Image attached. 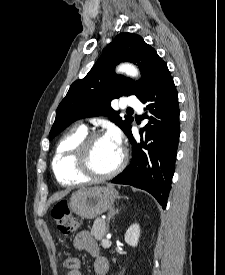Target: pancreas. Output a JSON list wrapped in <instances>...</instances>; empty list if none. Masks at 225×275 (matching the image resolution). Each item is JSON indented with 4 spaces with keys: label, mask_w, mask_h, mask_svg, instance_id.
<instances>
[{
    "label": "pancreas",
    "mask_w": 225,
    "mask_h": 275,
    "mask_svg": "<svg viewBox=\"0 0 225 275\" xmlns=\"http://www.w3.org/2000/svg\"><path fill=\"white\" fill-rule=\"evenodd\" d=\"M107 233L106 221L101 218H97L94 221L93 227L91 229V234L97 240H102Z\"/></svg>",
    "instance_id": "pancreas-1"
}]
</instances>
